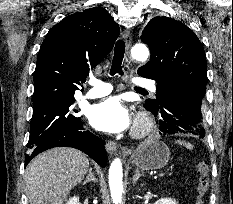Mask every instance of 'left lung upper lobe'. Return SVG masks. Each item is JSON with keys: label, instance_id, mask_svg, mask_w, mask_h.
<instances>
[{"label": "left lung upper lobe", "instance_id": "obj_1", "mask_svg": "<svg viewBox=\"0 0 233 204\" xmlns=\"http://www.w3.org/2000/svg\"><path fill=\"white\" fill-rule=\"evenodd\" d=\"M141 40L149 46L151 56L137 73L157 82V99L146 100L144 107L158 108L159 100L174 84L184 83L206 90V56L190 28L169 17L157 16L149 21Z\"/></svg>", "mask_w": 233, "mask_h": 204}]
</instances>
